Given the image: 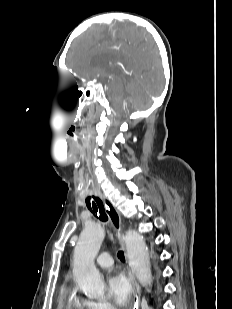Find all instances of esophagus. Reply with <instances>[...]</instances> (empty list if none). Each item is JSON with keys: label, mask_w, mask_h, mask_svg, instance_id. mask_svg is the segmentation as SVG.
I'll use <instances>...</instances> for the list:
<instances>
[{"label": "esophagus", "mask_w": 232, "mask_h": 309, "mask_svg": "<svg viewBox=\"0 0 232 309\" xmlns=\"http://www.w3.org/2000/svg\"><path fill=\"white\" fill-rule=\"evenodd\" d=\"M100 198L102 199L104 205H105V209L106 212L109 216V219L111 221V224L114 228V230L116 231L118 237H119V241L120 244L122 246V248L125 251V244L121 235V217L120 214L118 212V210L116 209V207L111 203V201L109 199H107L104 195H100ZM126 255V253H125ZM130 279L133 282V290H134V295H135V302L133 304V309H138L141 306V289L139 284L137 283V281L135 280V278L133 277V275L131 273H129Z\"/></svg>", "instance_id": "obj_1"}]
</instances>
